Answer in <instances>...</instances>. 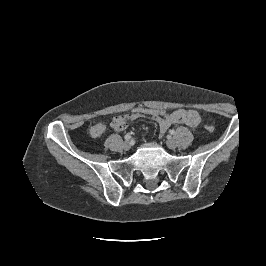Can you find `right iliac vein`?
Instances as JSON below:
<instances>
[{
	"label": "right iliac vein",
	"instance_id": "63e3f726",
	"mask_svg": "<svg viewBox=\"0 0 266 266\" xmlns=\"http://www.w3.org/2000/svg\"><path fill=\"white\" fill-rule=\"evenodd\" d=\"M132 144L129 140H126L124 143H123V148L125 150H129L131 148Z\"/></svg>",
	"mask_w": 266,
	"mask_h": 266
}]
</instances>
